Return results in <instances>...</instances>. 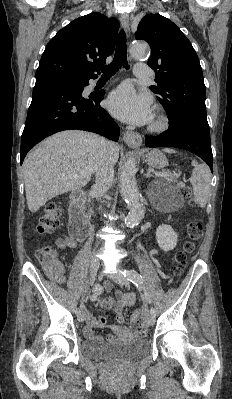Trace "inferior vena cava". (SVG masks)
I'll return each instance as SVG.
<instances>
[{"label": "inferior vena cava", "mask_w": 232, "mask_h": 399, "mask_svg": "<svg viewBox=\"0 0 232 399\" xmlns=\"http://www.w3.org/2000/svg\"><path fill=\"white\" fill-rule=\"evenodd\" d=\"M101 150H99L98 160L93 168L96 172V184L95 192L98 194L99 198L105 196L112 184H114V164L110 148H112L114 142H107L105 138H100L99 140ZM102 246V241H97L95 247H93V252H98ZM92 263L99 262L97 256L91 259Z\"/></svg>", "instance_id": "1"}]
</instances>
